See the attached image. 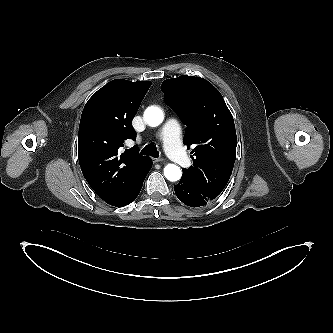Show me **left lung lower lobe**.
Segmentation results:
<instances>
[{"label":"left lung lower lobe","mask_w":333,"mask_h":333,"mask_svg":"<svg viewBox=\"0 0 333 333\" xmlns=\"http://www.w3.org/2000/svg\"><path fill=\"white\" fill-rule=\"evenodd\" d=\"M176 196L190 207H203L211 204L215 198L210 194L192 186L185 177L174 186Z\"/></svg>","instance_id":"1"}]
</instances>
